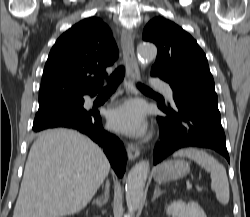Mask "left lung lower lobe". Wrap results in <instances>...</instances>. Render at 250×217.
Instances as JSON below:
<instances>
[{"mask_svg": "<svg viewBox=\"0 0 250 217\" xmlns=\"http://www.w3.org/2000/svg\"><path fill=\"white\" fill-rule=\"evenodd\" d=\"M173 98V107L158 105L167 116L157 117L161 142L154 150V164L186 147L210 148L229 161L217 94L173 91Z\"/></svg>", "mask_w": 250, "mask_h": 217, "instance_id": "1", "label": "left lung lower lobe"}]
</instances>
